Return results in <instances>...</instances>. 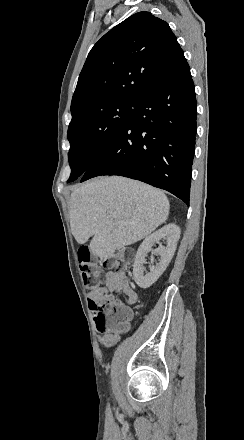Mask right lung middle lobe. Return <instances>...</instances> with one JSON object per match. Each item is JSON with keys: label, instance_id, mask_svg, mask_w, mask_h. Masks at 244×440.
<instances>
[{"label": "right lung middle lobe", "instance_id": "1", "mask_svg": "<svg viewBox=\"0 0 244 440\" xmlns=\"http://www.w3.org/2000/svg\"><path fill=\"white\" fill-rule=\"evenodd\" d=\"M141 98L112 97L80 105L71 110L68 127L71 175L82 176L98 155L129 122Z\"/></svg>", "mask_w": 244, "mask_h": 440}]
</instances>
